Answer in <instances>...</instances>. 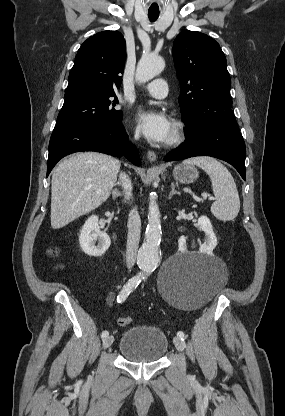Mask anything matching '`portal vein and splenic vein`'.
<instances>
[{
    "label": "portal vein and splenic vein",
    "instance_id": "18ae733b",
    "mask_svg": "<svg viewBox=\"0 0 285 416\" xmlns=\"http://www.w3.org/2000/svg\"><path fill=\"white\" fill-rule=\"evenodd\" d=\"M203 200H206L208 194H202ZM209 200H216V198H209Z\"/></svg>",
    "mask_w": 285,
    "mask_h": 416
}]
</instances>
